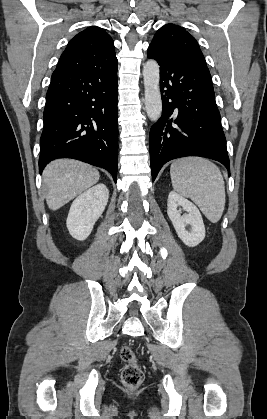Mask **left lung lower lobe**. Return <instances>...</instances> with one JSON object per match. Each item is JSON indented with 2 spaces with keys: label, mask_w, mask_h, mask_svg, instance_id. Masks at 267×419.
<instances>
[{
  "label": "left lung lower lobe",
  "mask_w": 267,
  "mask_h": 419,
  "mask_svg": "<svg viewBox=\"0 0 267 419\" xmlns=\"http://www.w3.org/2000/svg\"><path fill=\"white\" fill-rule=\"evenodd\" d=\"M147 57L160 65L163 102L162 116L151 127L149 137L152 180L166 162L185 156L216 160L229 172L226 139L209 70L150 48Z\"/></svg>",
  "instance_id": "0a47b994"
}]
</instances>
